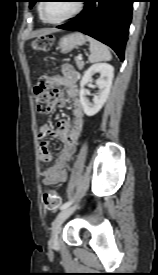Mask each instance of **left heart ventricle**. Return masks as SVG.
Returning <instances> with one entry per match:
<instances>
[{
  "instance_id": "1",
  "label": "left heart ventricle",
  "mask_w": 158,
  "mask_h": 275,
  "mask_svg": "<svg viewBox=\"0 0 158 275\" xmlns=\"http://www.w3.org/2000/svg\"><path fill=\"white\" fill-rule=\"evenodd\" d=\"M76 1L55 0L44 4V15L51 21L60 20L69 15L75 8Z\"/></svg>"
}]
</instances>
